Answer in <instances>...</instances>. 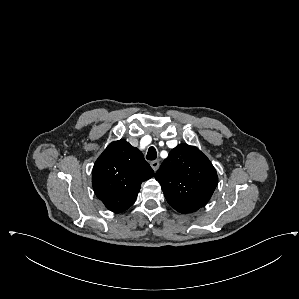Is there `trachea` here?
Returning a JSON list of instances; mask_svg holds the SVG:
<instances>
[{"label":"trachea","instance_id":"obj_1","mask_svg":"<svg viewBox=\"0 0 299 299\" xmlns=\"http://www.w3.org/2000/svg\"><path fill=\"white\" fill-rule=\"evenodd\" d=\"M146 158L147 160H155L157 158V151L153 146L148 149Z\"/></svg>","mask_w":299,"mask_h":299}]
</instances>
